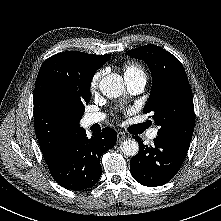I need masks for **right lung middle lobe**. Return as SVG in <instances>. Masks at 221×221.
Instances as JSON below:
<instances>
[{"label":"right lung middle lobe","instance_id":"right-lung-middle-lobe-1","mask_svg":"<svg viewBox=\"0 0 221 221\" xmlns=\"http://www.w3.org/2000/svg\"><path fill=\"white\" fill-rule=\"evenodd\" d=\"M90 83L91 78L83 83L74 82L69 87L71 106L79 119L85 111V105L90 102Z\"/></svg>","mask_w":221,"mask_h":221}]
</instances>
